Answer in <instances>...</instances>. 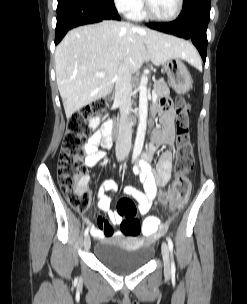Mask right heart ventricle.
Wrapping results in <instances>:
<instances>
[{
	"label": "right heart ventricle",
	"instance_id": "e07e8e85",
	"mask_svg": "<svg viewBox=\"0 0 247 304\" xmlns=\"http://www.w3.org/2000/svg\"><path fill=\"white\" fill-rule=\"evenodd\" d=\"M129 16L134 20H141L145 17L142 7H138L129 13Z\"/></svg>",
	"mask_w": 247,
	"mask_h": 304
}]
</instances>
